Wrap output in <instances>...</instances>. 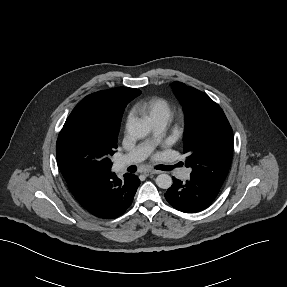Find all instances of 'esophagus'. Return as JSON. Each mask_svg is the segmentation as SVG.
Instances as JSON below:
<instances>
[{"mask_svg":"<svg viewBox=\"0 0 287 287\" xmlns=\"http://www.w3.org/2000/svg\"><path fill=\"white\" fill-rule=\"evenodd\" d=\"M161 172L160 171H157V170H145L143 172V174H145L146 176H149V175H152V174H160Z\"/></svg>","mask_w":287,"mask_h":287,"instance_id":"1","label":"esophagus"}]
</instances>
